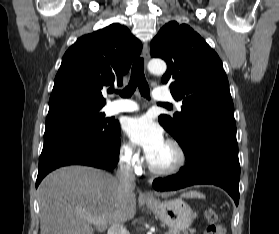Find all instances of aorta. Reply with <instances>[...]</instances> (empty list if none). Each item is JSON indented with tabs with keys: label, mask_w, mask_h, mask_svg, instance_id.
<instances>
[{
	"label": "aorta",
	"mask_w": 279,
	"mask_h": 234,
	"mask_svg": "<svg viewBox=\"0 0 279 234\" xmlns=\"http://www.w3.org/2000/svg\"><path fill=\"white\" fill-rule=\"evenodd\" d=\"M167 69L166 63L160 59H152L148 63V70L153 74H164Z\"/></svg>",
	"instance_id": "aorta-1"
}]
</instances>
